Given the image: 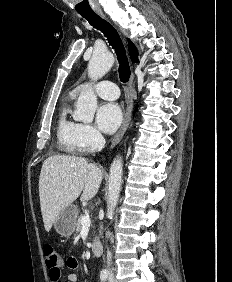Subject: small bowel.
I'll use <instances>...</instances> for the list:
<instances>
[{"instance_id": "obj_1", "label": "small bowel", "mask_w": 232, "mask_h": 282, "mask_svg": "<svg viewBox=\"0 0 232 282\" xmlns=\"http://www.w3.org/2000/svg\"><path fill=\"white\" fill-rule=\"evenodd\" d=\"M61 267H66V268L71 269V270H76L79 267V262L74 256L68 257L66 259L65 263L60 266V273L58 275H54L51 272H49L50 280L52 282H62ZM68 280L70 282H78V280H79L78 274L76 272H71L68 275Z\"/></svg>"}]
</instances>
